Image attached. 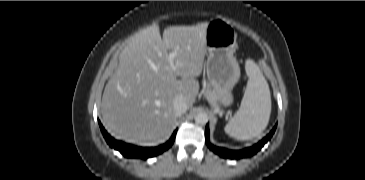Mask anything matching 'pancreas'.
<instances>
[{"label":"pancreas","mask_w":365,"mask_h":180,"mask_svg":"<svg viewBox=\"0 0 365 180\" xmlns=\"http://www.w3.org/2000/svg\"><path fill=\"white\" fill-rule=\"evenodd\" d=\"M205 96L207 98V100L209 101V103L214 106L217 107V97L216 94L213 90L210 89L209 86H207V89L205 91Z\"/></svg>","instance_id":"cf45deb5"}]
</instances>
